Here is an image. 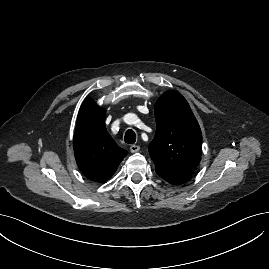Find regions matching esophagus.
<instances>
[{
  "label": "esophagus",
  "instance_id": "obj_1",
  "mask_svg": "<svg viewBox=\"0 0 269 269\" xmlns=\"http://www.w3.org/2000/svg\"><path fill=\"white\" fill-rule=\"evenodd\" d=\"M140 150V147L138 146V145H131L130 146V151L132 152V153H136V152H138Z\"/></svg>",
  "mask_w": 269,
  "mask_h": 269
}]
</instances>
